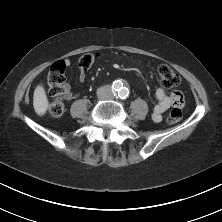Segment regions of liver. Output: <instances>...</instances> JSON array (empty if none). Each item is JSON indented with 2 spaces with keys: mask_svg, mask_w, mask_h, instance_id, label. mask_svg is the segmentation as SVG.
Wrapping results in <instances>:
<instances>
[{
  "mask_svg": "<svg viewBox=\"0 0 222 222\" xmlns=\"http://www.w3.org/2000/svg\"><path fill=\"white\" fill-rule=\"evenodd\" d=\"M49 106L48 98L43 85H38L34 90L33 107L37 115L43 116Z\"/></svg>",
  "mask_w": 222,
  "mask_h": 222,
  "instance_id": "1",
  "label": "liver"
}]
</instances>
